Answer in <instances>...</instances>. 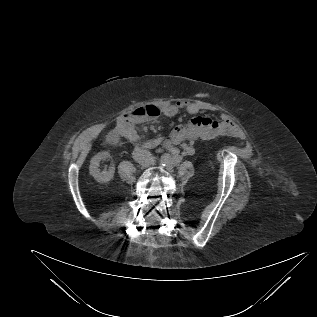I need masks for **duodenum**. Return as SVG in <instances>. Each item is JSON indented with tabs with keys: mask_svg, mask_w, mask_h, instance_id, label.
Masks as SVG:
<instances>
[{
	"mask_svg": "<svg viewBox=\"0 0 317 317\" xmlns=\"http://www.w3.org/2000/svg\"><path fill=\"white\" fill-rule=\"evenodd\" d=\"M130 120V119H127ZM124 135L122 133H118L117 131L113 132L110 136H109V143L111 145H117L119 140L123 137ZM130 141L134 144V146L139 147L140 146V142L136 141V140H132L130 139ZM158 143L157 139H151L149 142H147V145L149 146H154Z\"/></svg>",
	"mask_w": 317,
	"mask_h": 317,
	"instance_id": "410a0bca",
	"label": "duodenum"
}]
</instances>
